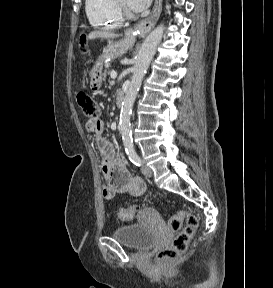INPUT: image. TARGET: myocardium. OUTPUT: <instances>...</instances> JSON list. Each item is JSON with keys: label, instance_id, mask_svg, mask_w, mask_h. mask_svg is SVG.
<instances>
[{"label": "myocardium", "instance_id": "obj_1", "mask_svg": "<svg viewBox=\"0 0 273 288\" xmlns=\"http://www.w3.org/2000/svg\"><path fill=\"white\" fill-rule=\"evenodd\" d=\"M115 2H116V6L122 18H127V19L134 18V14L130 12V10L127 8V6L124 3H122L121 0H115Z\"/></svg>", "mask_w": 273, "mask_h": 288}]
</instances>
